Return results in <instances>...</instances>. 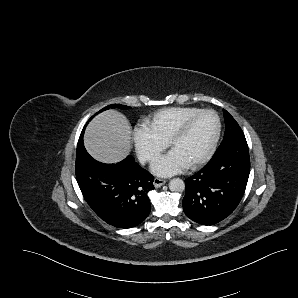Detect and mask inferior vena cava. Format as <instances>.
<instances>
[{
    "label": "inferior vena cava",
    "instance_id": "inferior-vena-cava-1",
    "mask_svg": "<svg viewBox=\"0 0 298 298\" xmlns=\"http://www.w3.org/2000/svg\"><path fill=\"white\" fill-rule=\"evenodd\" d=\"M150 157V154L143 153L139 156V160L141 163H145Z\"/></svg>",
    "mask_w": 298,
    "mask_h": 298
}]
</instances>
